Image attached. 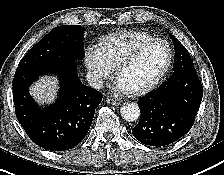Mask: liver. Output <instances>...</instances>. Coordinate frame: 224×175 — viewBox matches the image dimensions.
Masks as SVG:
<instances>
[{
    "instance_id": "1",
    "label": "liver",
    "mask_w": 224,
    "mask_h": 175,
    "mask_svg": "<svg viewBox=\"0 0 224 175\" xmlns=\"http://www.w3.org/2000/svg\"><path fill=\"white\" fill-rule=\"evenodd\" d=\"M57 81L49 77H42L33 86L30 87V94L38 103H52L57 94Z\"/></svg>"
}]
</instances>
